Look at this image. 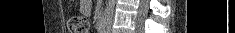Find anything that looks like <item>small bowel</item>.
<instances>
[{"label": "small bowel", "instance_id": "small-bowel-1", "mask_svg": "<svg viewBox=\"0 0 235 33\" xmlns=\"http://www.w3.org/2000/svg\"><path fill=\"white\" fill-rule=\"evenodd\" d=\"M82 10L86 12L88 10V4L85 3L84 5L81 6Z\"/></svg>", "mask_w": 235, "mask_h": 33}]
</instances>
